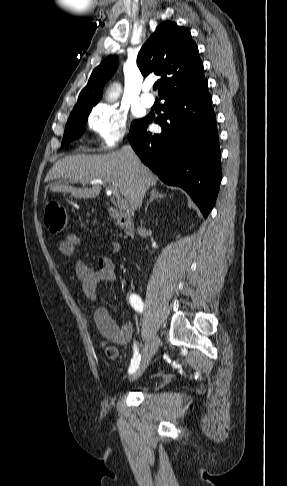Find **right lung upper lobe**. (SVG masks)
Here are the masks:
<instances>
[{"label": "right lung upper lobe", "mask_w": 287, "mask_h": 486, "mask_svg": "<svg viewBox=\"0 0 287 486\" xmlns=\"http://www.w3.org/2000/svg\"><path fill=\"white\" fill-rule=\"evenodd\" d=\"M137 65L143 75L154 72L159 95L204 79L203 64L190 31L172 21L161 23L142 46ZM117 68V57L109 56L92 72L87 85L80 92L71 114L92 108L102 98V88Z\"/></svg>", "instance_id": "1"}]
</instances>
